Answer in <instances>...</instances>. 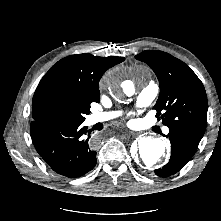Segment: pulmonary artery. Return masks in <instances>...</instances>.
Wrapping results in <instances>:
<instances>
[{
    "mask_svg": "<svg viewBox=\"0 0 221 221\" xmlns=\"http://www.w3.org/2000/svg\"><path fill=\"white\" fill-rule=\"evenodd\" d=\"M159 87L156 83L150 82L147 84L139 93L137 98L138 106H147L149 105L158 95ZM117 115L116 112H96L90 116L91 124H95L98 122H105ZM165 134L169 133V128L165 127L163 129Z\"/></svg>",
    "mask_w": 221,
    "mask_h": 221,
    "instance_id": "obj_1",
    "label": "pulmonary artery"
}]
</instances>
